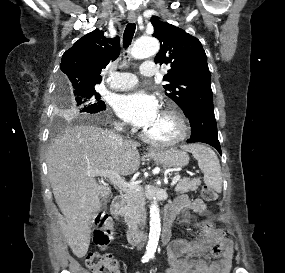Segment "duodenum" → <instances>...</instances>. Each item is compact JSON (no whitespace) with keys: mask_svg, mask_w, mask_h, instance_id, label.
I'll list each match as a JSON object with an SVG mask.
<instances>
[{"mask_svg":"<svg viewBox=\"0 0 285 273\" xmlns=\"http://www.w3.org/2000/svg\"><path fill=\"white\" fill-rule=\"evenodd\" d=\"M112 213L117 219H122L126 213V199L124 196L115 197L112 204ZM172 209L166 210L163 218L162 243L165 244L170 237L172 225L176 216ZM125 234L128 242L132 245L139 244L142 240V234L138 231L133 222H128L125 226Z\"/></svg>","mask_w":285,"mask_h":273,"instance_id":"obj_1","label":"duodenum"}]
</instances>
